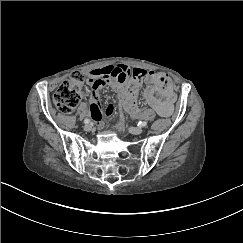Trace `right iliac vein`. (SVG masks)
<instances>
[{
  "instance_id": "obj_1",
  "label": "right iliac vein",
  "mask_w": 243,
  "mask_h": 243,
  "mask_svg": "<svg viewBox=\"0 0 243 243\" xmlns=\"http://www.w3.org/2000/svg\"><path fill=\"white\" fill-rule=\"evenodd\" d=\"M91 129H92V127H91V125H89V124H86V125L84 126V130L87 131V132H89Z\"/></svg>"
}]
</instances>
